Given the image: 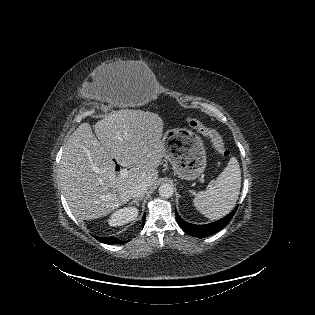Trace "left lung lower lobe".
<instances>
[{"mask_svg":"<svg viewBox=\"0 0 315 315\" xmlns=\"http://www.w3.org/2000/svg\"><path fill=\"white\" fill-rule=\"evenodd\" d=\"M237 208H238V206L230 214H228L224 218H222L216 222L205 224V225H196V224L188 223V222L184 221L179 216L177 211H176V219H177V222H178L180 228L185 233H188V234L193 235L195 237H207V236L214 234L217 231L221 230L225 226H227L229 224V222L231 221L232 217L234 216Z\"/></svg>","mask_w":315,"mask_h":315,"instance_id":"obj_1","label":"left lung lower lobe"}]
</instances>
